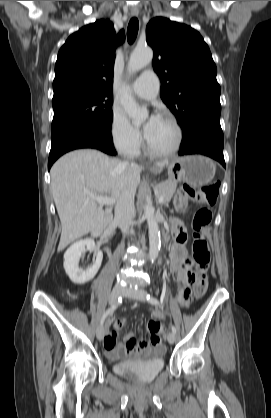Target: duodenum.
<instances>
[{
    "label": "duodenum",
    "instance_id": "1",
    "mask_svg": "<svg viewBox=\"0 0 271 418\" xmlns=\"http://www.w3.org/2000/svg\"><path fill=\"white\" fill-rule=\"evenodd\" d=\"M115 232V226L112 222H109L103 231V238L105 241H110Z\"/></svg>",
    "mask_w": 271,
    "mask_h": 418
}]
</instances>
